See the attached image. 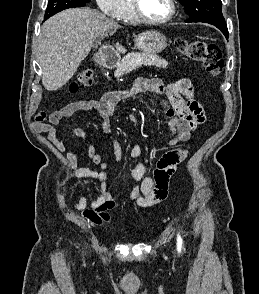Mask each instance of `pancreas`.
<instances>
[{"label":"pancreas","mask_w":259,"mask_h":294,"mask_svg":"<svg viewBox=\"0 0 259 294\" xmlns=\"http://www.w3.org/2000/svg\"><path fill=\"white\" fill-rule=\"evenodd\" d=\"M144 66H156L158 68H166L168 62L165 59L158 57L156 54L133 52L127 54L117 65L115 76L119 77L125 73Z\"/></svg>","instance_id":"1"}]
</instances>
